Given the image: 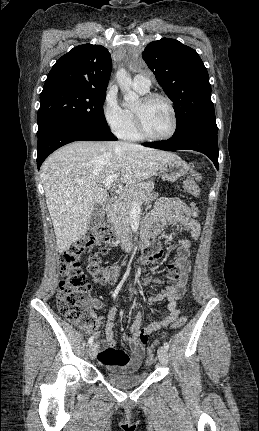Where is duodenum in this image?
I'll list each match as a JSON object with an SVG mask.
<instances>
[{
    "instance_id": "obj_1",
    "label": "duodenum",
    "mask_w": 259,
    "mask_h": 431,
    "mask_svg": "<svg viewBox=\"0 0 259 431\" xmlns=\"http://www.w3.org/2000/svg\"><path fill=\"white\" fill-rule=\"evenodd\" d=\"M115 206H116V200L111 199L106 206V211H107L108 216L112 215V213L115 209ZM120 243H121L122 248L126 251H130L133 248L132 241H131L130 237L126 234H124L120 237Z\"/></svg>"
}]
</instances>
